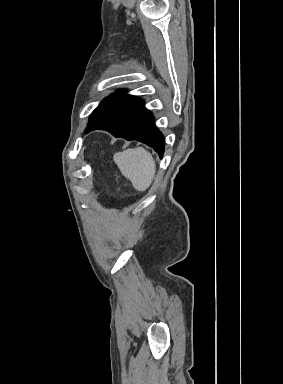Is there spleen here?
<instances>
[{
	"instance_id": "1",
	"label": "spleen",
	"mask_w": 283,
	"mask_h": 384,
	"mask_svg": "<svg viewBox=\"0 0 283 384\" xmlns=\"http://www.w3.org/2000/svg\"><path fill=\"white\" fill-rule=\"evenodd\" d=\"M123 176L132 182L138 192H145L151 186L155 174V162L144 148H132L114 154L113 158Z\"/></svg>"
}]
</instances>
